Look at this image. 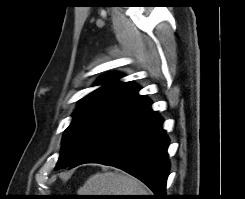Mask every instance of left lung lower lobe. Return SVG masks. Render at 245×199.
Returning a JSON list of instances; mask_svg holds the SVG:
<instances>
[{
	"instance_id": "1",
	"label": "left lung lower lobe",
	"mask_w": 245,
	"mask_h": 199,
	"mask_svg": "<svg viewBox=\"0 0 245 199\" xmlns=\"http://www.w3.org/2000/svg\"><path fill=\"white\" fill-rule=\"evenodd\" d=\"M162 124L149 99L141 96L91 139L70 169L83 163L112 165L144 182L155 199H164L170 164Z\"/></svg>"
}]
</instances>
